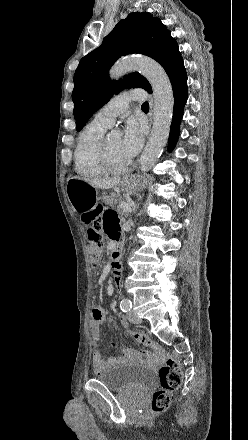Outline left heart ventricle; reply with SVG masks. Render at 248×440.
I'll return each mask as SVG.
<instances>
[{
	"mask_svg": "<svg viewBox=\"0 0 248 440\" xmlns=\"http://www.w3.org/2000/svg\"><path fill=\"white\" fill-rule=\"evenodd\" d=\"M121 137L117 135L107 136L108 150L110 154L111 161L116 166H124L129 163V161L124 157L120 148Z\"/></svg>",
	"mask_w": 248,
	"mask_h": 440,
	"instance_id": "obj_1",
	"label": "left heart ventricle"
}]
</instances>
